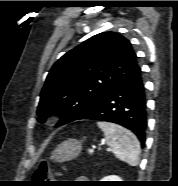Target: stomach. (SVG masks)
Returning a JSON list of instances; mask_svg holds the SVG:
<instances>
[{
  "label": "stomach",
  "mask_w": 178,
  "mask_h": 186,
  "mask_svg": "<svg viewBox=\"0 0 178 186\" xmlns=\"http://www.w3.org/2000/svg\"><path fill=\"white\" fill-rule=\"evenodd\" d=\"M82 149V144L76 139H68L59 144L51 155L55 162H65L76 158Z\"/></svg>",
  "instance_id": "1"
}]
</instances>
